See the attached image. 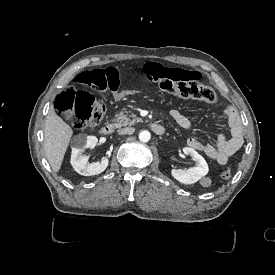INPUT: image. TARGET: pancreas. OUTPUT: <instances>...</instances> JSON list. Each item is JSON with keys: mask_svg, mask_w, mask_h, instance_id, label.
Here are the masks:
<instances>
[{"mask_svg": "<svg viewBox=\"0 0 275 275\" xmlns=\"http://www.w3.org/2000/svg\"><path fill=\"white\" fill-rule=\"evenodd\" d=\"M142 119L136 117V115H128V111H121L119 114L116 115V119L113 120L114 126L116 128L126 127V126H133L136 123L141 122Z\"/></svg>", "mask_w": 275, "mask_h": 275, "instance_id": "1", "label": "pancreas"}]
</instances>
